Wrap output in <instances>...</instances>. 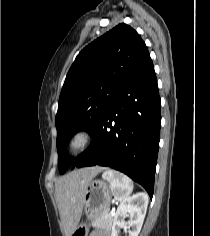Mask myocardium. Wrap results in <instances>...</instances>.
I'll use <instances>...</instances> for the list:
<instances>
[{"mask_svg":"<svg viewBox=\"0 0 210 236\" xmlns=\"http://www.w3.org/2000/svg\"><path fill=\"white\" fill-rule=\"evenodd\" d=\"M93 139L92 131L87 127L77 128L69 137L67 149L70 153H77L87 148Z\"/></svg>","mask_w":210,"mask_h":236,"instance_id":"f54148a6","label":"myocardium"}]
</instances>
